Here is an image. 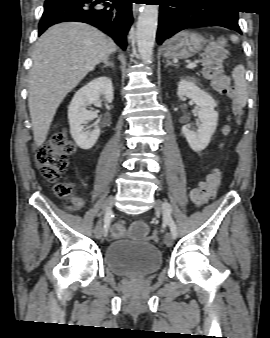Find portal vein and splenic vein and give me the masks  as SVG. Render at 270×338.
Listing matches in <instances>:
<instances>
[{
  "label": "portal vein and splenic vein",
  "instance_id": "1",
  "mask_svg": "<svg viewBox=\"0 0 270 338\" xmlns=\"http://www.w3.org/2000/svg\"><path fill=\"white\" fill-rule=\"evenodd\" d=\"M196 66H197L196 62H190V63L187 64L186 67H187L188 69H193V68H195Z\"/></svg>",
  "mask_w": 270,
  "mask_h": 338
}]
</instances>
